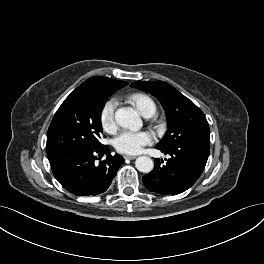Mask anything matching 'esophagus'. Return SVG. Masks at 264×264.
I'll list each match as a JSON object with an SVG mask.
<instances>
[{
	"mask_svg": "<svg viewBox=\"0 0 264 264\" xmlns=\"http://www.w3.org/2000/svg\"><path fill=\"white\" fill-rule=\"evenodd\" d=\"M137 156H134V155H124V158L125 159H129V160H133L135 159Z\"/></svg>",
	"mask_w": 264,
	"mask_h": 264,
	"instance_id": "esophagus-1",
	"label": "esophagus"
}]
</instances>
